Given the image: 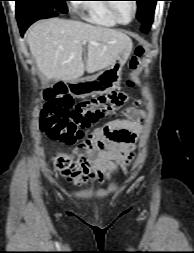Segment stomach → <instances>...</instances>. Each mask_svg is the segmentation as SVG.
Returning a JSON list of instances; mask_svg holds the SVG:
<instances>
[{
    "instance_id": "obj_1",
    "label": "stomach",
    "mask_w": 194,
    "mask_h": 253,
    "mask_svg": "<svg viewBox=\"0 0 194 253\" xmlns=\"http://www.w3.org/2000/svg\"><path fill=\"white\" fill-rule=\"evenodd\" d=\"M131 51L123 50L113 63L96 75L69 81V91L75 97L105 94L120 84L121 70Z\"/></svg>"
}]
</instances>
